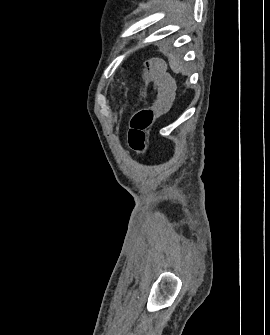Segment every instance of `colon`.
Here are the masks:
<instances>
[{
    "label": "colon",
    "instance_id": "1",
    "mask_svg": "<svg viewBox=\"0 0 270 335\" xmlns=\"http://www.w3.org/2000/svg\"><path fill=\"white\" fill-rule=\"evenodd\" d=\"M166 63L161 57H150L142 62V77L152 89H160L159 97L153 106L142 107L133 113L129 120L128 145L137 154H143L147 148V130L155 119L168 115L167 109H175L174 72H164ZM156 109V110H155Z\"/></svg>",
    "mask_w": 270,
    "mask_h": 335
}]
</instances>
